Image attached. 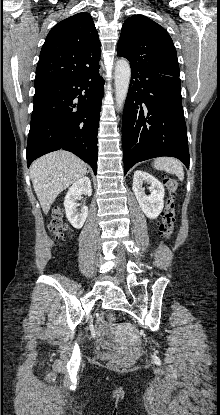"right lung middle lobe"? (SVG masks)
<instances>
[{
	"label": "right lung middle lobe",
	"mask_w": 220,
	"mask_h": 415,
	"mask_svg": "<svg viewBox=\"0 0 220 415\" xmlns=\"http://www.w3.org/2000/svg\"><path fill=\"white\" fill-rule=\"evenodd\" d=\"M59 84L35 85L34 100L57 91Z\"/></svg>",
	"instance_id": "1"
}]
</instances>
